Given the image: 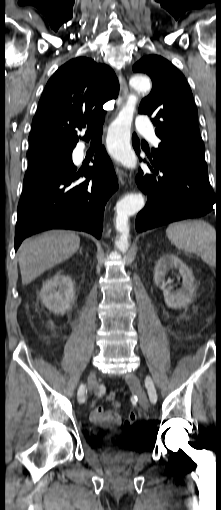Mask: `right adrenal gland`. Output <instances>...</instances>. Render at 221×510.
I'll return each mask as SVG.
<instances>
[{
	"label": "right adrenal gland",
	"mask_w": 221,
	"mask_h": 510,
	"mask_svg": "<svg viewBox=\"0 0 221 510\" xmlns=\"http://www.w3.org/2000/svg\"><path fill=\"white\" fill-rule=\"evenodd\" d=\"M79 253L82 254V248H80Z\"/></svg>",
	"instance_id": "obj_1"
}]
</instances>
